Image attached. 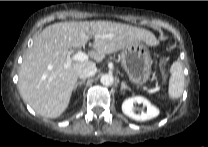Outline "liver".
Returning a JSON list of instances; mask_svg holds the SVG:
<instances>
[{
	"label": "liver",
	"instance_id": "1",
	"mask_svg": "<svg viewBox=\"0 0 208 147\" xmlns=\"http://www.w3.org/2000/svg\"><path fill=\"white\" fill-rule=\"evenodd\" d=\"M90 36L94 50L89 56L96 62L136 42L156 44L150 31L110 21L60 22L46 27L34 39L19 70V93L37 114L57 118L68 107L78 72L95 63L75 61L65 67L67 55L69 49L84 46Z\"/></svg>",
	"mask_w": 208,
	"mask_h": 147
}]
</instances>
